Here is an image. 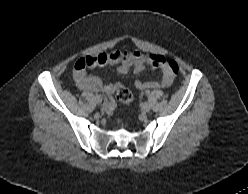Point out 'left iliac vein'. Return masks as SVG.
Listing matches in <instances>:
<instances>
[{"label": "left iliac vein", "instance_id": "obj_1", "mask_svg": "<svg viewBox=\"0 0 248 194\" xmlns=\"http://www.w3.org/2000/svg\"><path fill=\"white\" fill-rule=\"evenodd\" d=\"M142 109L144 112H149L151 110V104L148 102H145L142 106Z\"/></svg>", "mask_w": 248, "mask_h": 194}]
</instances>
